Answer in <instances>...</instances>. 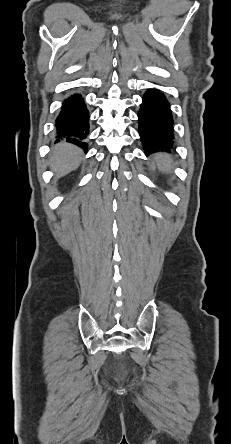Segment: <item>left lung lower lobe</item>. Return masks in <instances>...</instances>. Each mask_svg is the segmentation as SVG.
Returning a JSON list of instances; mask_svg holds the SVG:
<instances>
[{
    "label": "left lung lower lobe",
    "mask_w": 231,
    "mask_h": 444,
    "mask_svg": "<svg viewBox=\"0 0 231 444\" xmlns=\"http://www.w3.org/2000/svg\"><path fill=\"white\" fill-rule=\"evenodd\" d=\"M139 134L145 154L166 150L173 145V118L165 96L157 89H149L143 97L138 113Z\"/></svg>",
    "instance_id": "1"
}]
</instances>
